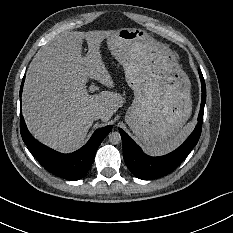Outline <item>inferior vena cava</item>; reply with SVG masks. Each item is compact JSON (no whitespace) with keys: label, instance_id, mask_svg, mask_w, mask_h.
Here are the masks:
<instances>
[{"label":"inferior vena cava","instance_id":"602c4592","mask_svg":"<svg viewBox=\"0 0 233 233\" xmlns=\"http://www.w3.org/2000/svg\"><path fill=\"white\" fill-rule=\"evenodd\" d=\"M101 117H102V113L101 112H94V113H92L91 115H90V119L91 120H99V119H101Z\"/></svg>","mask_w":233,"mask_h":233}]
</instances>
